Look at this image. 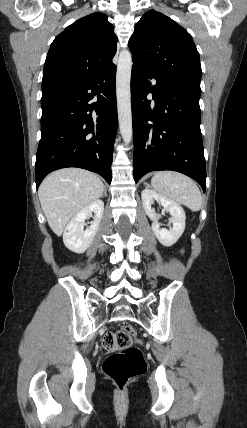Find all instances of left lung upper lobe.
Instances as JSON below:
<instances>
[{"mask_svg": "<svg viewBox=\"0 0 247 428\" xmlns=\"http://www.w3.org/2000/svg\"><path fill=\"white\" fill-rule=\"evenodd\" d=\"M133 62L163 79L201 92L199 53L191 35L174 20L155 10L146 12L129 40Z\"/></svg>", "mask_w": 247, "mask_h": 428, "instance_id": "5c2ea615", "label": "left lung upper lobe"}]
</instances>
